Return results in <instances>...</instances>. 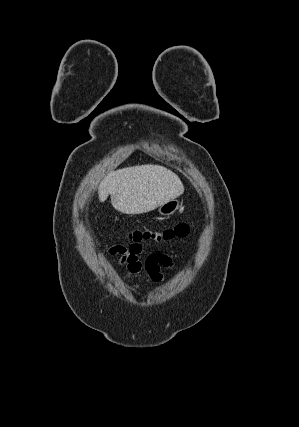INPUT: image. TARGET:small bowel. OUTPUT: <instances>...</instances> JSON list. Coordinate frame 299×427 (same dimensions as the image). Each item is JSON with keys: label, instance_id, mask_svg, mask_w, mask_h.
Listing matches in <instances>:
<instances>
[{"label": "small bowel", "instance_id": "small-bowel-1", "mask_svg": "<svg viewBox=\"0 0 299 427\" xmlns=\"http://www.w3.org/2000/svg\"><path fill=\"white\" fill-rule=\"evenodd\" d=\"M117 254L120 255V264L125 266L130 273L139 274L142 271H146L155 282L161 279V268L172 266L171 258L161 252L150 254L145 262H142L140 260L142 246L139 244H133L129 249L119 251Z\"/></svg>", "mask_w": 299, "mask_h": 427}]
</instances>
